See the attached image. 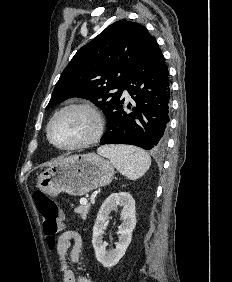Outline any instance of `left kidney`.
Here are the masks:
<instances>
[{
  "label": "left kidney",
  "instance_id": "5707ae66",
  "mask_svg": "<svg viewBox=\"0 0 232 282\" xmlns=\"http://www.w3.org/2000/svg\"><path fill=\"white\" fill-rule=\"evenodd\" d=\"M117 207L123 208L122 223L117 234L119 242L112 251H106L102 240L105 223L109 214ZM135 200L127 192L112 193L99 209L97 219L93 227L92 244L97 260L107 268L115 266L124 256L127 247L131 242L132 232L136 225Z\"/></svg>",
  "mask_w": 232,
  "mask_h": 282
}]
</instances>
